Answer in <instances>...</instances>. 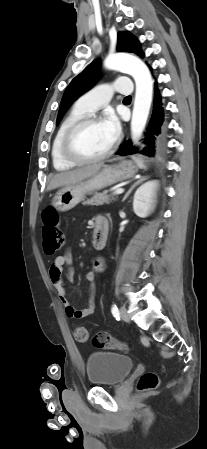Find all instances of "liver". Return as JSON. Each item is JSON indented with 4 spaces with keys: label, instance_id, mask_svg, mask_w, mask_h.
<instances>
[{
    "label": "liver",
    "instance_id": "liver-1",
    "mask_svg": "<svg viewBox=\"0 0 207 449\" xmlns=\"http://www.w3.org/2000/svg\"><path fill=\"white\" fill-rule=\"evenodd\" d=\"M101 167V164H95L78 168L72 171L58 173L51 179L47 187V191H51L58 187L76 184L96 174L101 169Z\"/></svg>",
    "mask_w": 207,
    "mask_h": 449
}]
</instances>
